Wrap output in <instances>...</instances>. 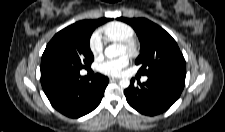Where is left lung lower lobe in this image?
<instances>
[{"mask_svg": "<svg viewBox=\"0 0 225 132\" xmlns=\"http://www.w3.org/2000/svg\"><path fill=\"white\" fill-rule=\"evenodd\" d=\"M148 80L135 85L131 79L130 86L124 91L130 106L142 114L153 116L169 109L179 98L186 75L150 74Z\"/></svg>", "mask_w": 225, "mask_h": 132, "instance_id": "1", "label": "left lung lower lobe"}]
</instances>
